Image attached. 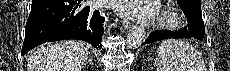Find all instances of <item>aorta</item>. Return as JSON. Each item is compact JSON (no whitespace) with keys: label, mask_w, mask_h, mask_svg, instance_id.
Here are the masks:
<instances>
[{"label":"aorta","mask_w":230,"mask_h":71,"mask_svg":"<svg viewBox=\"0 0 230 71\" xmlns=\"http://www.w3.org/2000/svg\"><path fill=\"white\" fill-rule=\"evenodd\" d=\"M146 38L145 29L141 26H134L130 29L127 36V45L130 49H135L141 46Z\"/></svg>","instance_id":"obj_1"}]
</instances>
